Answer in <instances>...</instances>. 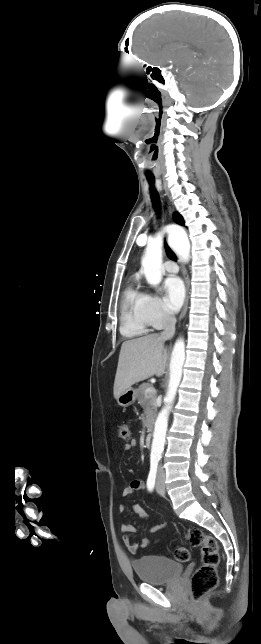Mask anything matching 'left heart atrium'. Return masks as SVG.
Returning a JSON list of instances; mask_svg holds the SVG:
<instances>
[{
	"mask_svg": "<svg viewBox=\"0 0 261 644\" xmlns=\"http://www.w3.org/2000/svg\"><path fill=\"white\" fill-rule=\"evenodd\" d=\"M165 307L171 312H177L184 301L185 289L179 277L171 276L165 281Z\"/></svg>",
	"mask_w": 261,
	"mask_h": 644,
	"instance_id": "1",
	"label": "left heart atrium"
}]
</instances>
